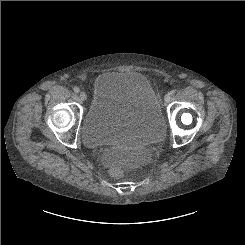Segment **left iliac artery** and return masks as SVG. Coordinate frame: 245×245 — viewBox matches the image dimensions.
Segmentation results:
<instances>
[{
  "label": "left iliac artery",
  "instance_id": "left-iliac-artery-1",
  "mask_svg": "<svg viewBox=\"0 0 245 245\" xmlns=\"http://www.w3.org/2000/svg\"><path fill=\"white\" fill-rule=\"evenodd\" d=\"M176 93V90H171L170 92H169V94L171 95V96H173L174 94Z\"/></svg>",
  "mask_w": 245,
  "mask_h": 245
}]
</instances>
